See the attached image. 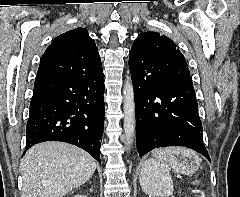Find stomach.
Here are the masks:
<instances>
[{"instance_id":"obj_1","label":"stomach","mask_w":240,"mask_h":197,"mask_svg":"<svg viewBox=\"0 0 240 197\" xmlns=\"http://www.w3.org/2000/svg\"><path fill=\"white\" fill-rule=\"evenodd\" d=\"M199 163H200V161L196 155L191 156V157L178 155V156H176L174 162L170 163V166L177 173H181L184 175H190V174H193L194 172H196V170L199 168ZM141 183H143V182H141Z\"/></svg>"}]
</instances>
